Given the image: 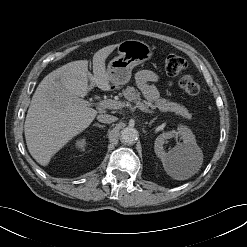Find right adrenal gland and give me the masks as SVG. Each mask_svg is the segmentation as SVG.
<instances>
[{"instance_id": "1", "label": "right adrenal gland", "mask_w": 247, "mask_h": 247, "mask_svg": "<svg viewBox=\"0 0 247 247\" xmlns=\"http://www.w3.org/2000/svg\"><path fill=\"white\" fill-rule=\"evenodd\" d=\"M93 126H96V127H99V128H104L105 127V125H101L99 123H95Z\"/></svg>"}]
</instances>
